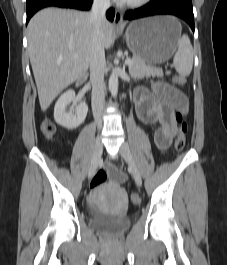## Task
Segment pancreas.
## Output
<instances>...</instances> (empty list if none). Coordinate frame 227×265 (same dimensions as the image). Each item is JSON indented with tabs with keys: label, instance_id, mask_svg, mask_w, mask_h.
Returning <instances> with one entry per match:
<instances>
[{
	"label": "pancreas",
	"instance_id": "1",
	"mask_svg": "<svg viewBox=\"0 0 227 265\" xmlns=\"http://www.w3.org/2000/svg\"><path fill=\"white\" fill-rule=\"evenodd\" d=\"M132 64L129 65V73L134 79H140L143 77H162L163 71L160 68H155L151 65L146 64L140 59L134 57L131 59ZM169 74V72H166Z\"/></svg>",
	"mask_w": 227,
	"mask_h": 265
}]
</instances>
